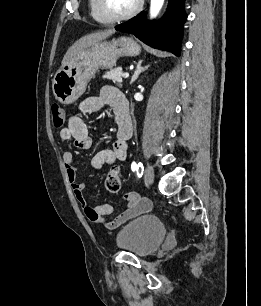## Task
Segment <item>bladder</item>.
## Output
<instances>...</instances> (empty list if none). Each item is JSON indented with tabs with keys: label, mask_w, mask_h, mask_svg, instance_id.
I'll use <instances>...</instances> for the list:
<instances>
[{
	"label": "bladder",
	"mask_w": 261,
	"mask_h": 306,
	"mask_svg": "<svg viewBox=\"0 0 261 306\" xmlns=\"http://www.w3.org/2000/svg\"><path fill=\"white\" fill-rule=\"evenodd\" d=\"M164 223L154 215L139 216L125 224L116 235V246L138 257L155 252L166 236Z\"/></svg>",
	"instance_id": "bladder-1"
}]
</instances>
